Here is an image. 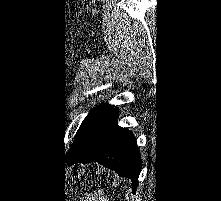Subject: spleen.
<instances>
[{
    "instance_id": "spleen-1",
    "label": "spleen",
    "mask_w": 221,
    "mask_h": 201,
    "mask_svg": "<svg viewBox=\"0 0 221 201\" xmlns=\"http://www.w3.org/2000/svg\"><path fill=\"white\" fill-rule=\"evenodd\" d=\"M84 201H109V198L107 196L103 195V191L102 190H98V192L94 193V194H89L86 197V200Z\"/></svg>"
}]
</instances>
